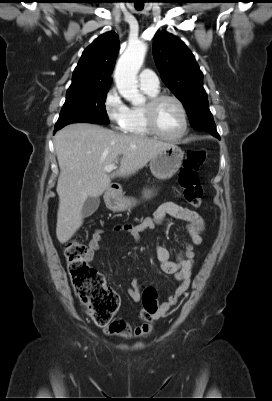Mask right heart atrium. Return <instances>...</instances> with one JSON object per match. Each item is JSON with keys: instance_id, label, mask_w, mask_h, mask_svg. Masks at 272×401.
<instances>
[{"instance_id": "obj_1", "label": "right heart atrium", "mask_w": 272, "mask_h": 401, "mask_svg": "<svg viewBox=\"0 0 272 401\" xmlns=\"http://www.w3.org/2000/svg\"><path fill=\"white\" fill-rule=\"evenodd\" d=\"M103 107L112 126L123 130L128 120L129 107L115 87L109 89L105 94Z\"/></svg>"}]
</instances>
